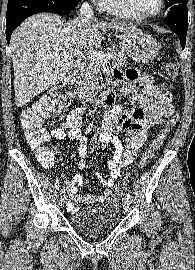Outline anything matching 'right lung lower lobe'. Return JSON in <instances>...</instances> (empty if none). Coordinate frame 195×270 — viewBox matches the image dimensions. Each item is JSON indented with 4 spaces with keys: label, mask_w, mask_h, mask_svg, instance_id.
Returning <instances> with one entry per match:
<instances>
[{
    "label": "right lung lower lobe",
    "mask_w": 195,
    "mask_h": 270,
    "mask_svg": "<svg viewBox=\"0 0 195 270\" xmlns=\"http://www.w3.org/2000/svg\"><path fill=\"white\" fill-rule=\"evenodd\" d=\"M71 2L78 4L80 0H72ZM58 4L59 2L55 0H8L6 14V38L8 45L12 32L27 17L40 12L55 13Z\"/></svg>",
    "instance_id": "98d812e1"
}]
</instances>
